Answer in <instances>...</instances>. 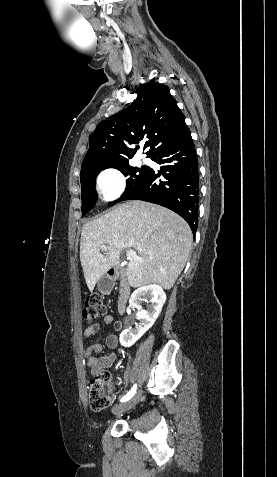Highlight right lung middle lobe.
Segmentation results:
<instances>
[{
	"instance_id": "obj_1",
	"label": "right lung middle lobe",
	"mask_w": 277,
	"mask_h": 477,
	"mask_svg": "<svg viewBox=\"0 0 277 477\" xmlns=\"http://www.w3.org/2000/svg\"><path fill=\"white\" fill-rule=\"evenodd\" d=\"M106 168H116L120 170L125 176H128L126 189L122 194L121 198L116 200V202L122 200L125 195L135 189L143 181L149 171L148 166H142L141 168H137L130 166L128 162L106 167H89L84 170H81L80 181L82 187L81 195L83 216L95 206L97 199V194L95 192V178L100 171Z\"/></svg>"
}]
</instances>
